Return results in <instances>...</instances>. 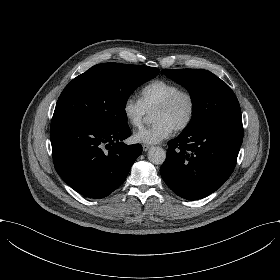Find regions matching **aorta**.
Segmentation results:
<instances>
[{
    "instance_id": "1",
    "label": "aorta",
    "mask_w": 280,
    "mask_h": 280,
    "mask_svg": "<svg viewBox=\"0 0 280 280\" xmlns=\"http://www.w3.org/2000/svg\"><path fill=\"white\" fill-rule=\"evenodd\" d=\"M166 152L160 146H153L148 152V159L153 164H162L165 161Z\"/></svg>"
}]
</instances>
